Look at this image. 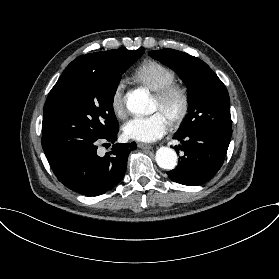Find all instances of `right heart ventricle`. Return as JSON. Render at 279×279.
<instances>
[{"label": "right heart ventricle", "mask_w": 279, "mask_h": 279, "mask_svg": "<svg viewBox=\"0 0 279 279\" xmlns=\"http://www.w3.org/2000/svg\"><path fill=\"white\" fill-rule=\"evenodd\" d=\"M134 75L139 82L156 92L176 81L175 72L156 60H146L141 63Z\"/></svg>", "instance_id": "e07e8e85"}]
</instances>
